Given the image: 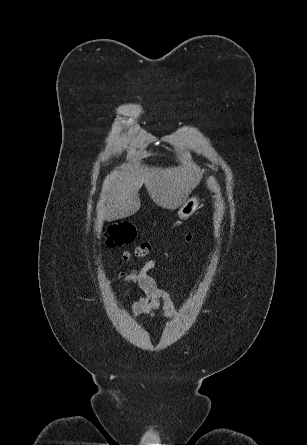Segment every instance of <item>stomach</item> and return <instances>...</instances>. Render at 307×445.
Returning a JSON list of instances; mask_svg holds the SVG:
<instances>
[{"label":"stomach","mask_w":307,"mask_h":445,"mask_svg":"<svg viewBox=\"0 0 307 445\" xmlns=\"http://www.w3.org/2000/svg\"><path fill=\"white\" fill-rule=\"evenodd\" d=\"M198 206L199 198H197V196H190V198H187V200L181 204L177 214L179 218H188V216L196 212Z\"/></svg>","instance_id":"obj_1"}]
</instances>
